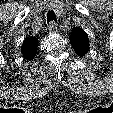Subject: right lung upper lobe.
Wrapping results in <instances>:
<instances>
[{"label":"right lung upper lobe","mask_w":113,"mask_h":113,"mask_svg":"<svg viewBox=\"0 0 113 113\" xmlns=\"http://www.w3.org/2000/svg\"><path fill=\"white\" fill-rule=\"evenodd\" d=\"M38 40L35 37H27L23 41L21 53L27 60H32L37 53Z\"/></svg>","instance_id":"obj_1"}]
</instances>
